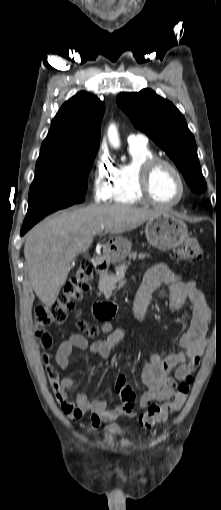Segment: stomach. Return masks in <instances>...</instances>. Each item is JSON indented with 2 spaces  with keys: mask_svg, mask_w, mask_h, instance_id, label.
<instances>
[{
  "mask_svg": "<svg viewBox=\"0 0 221 510\" xmlns=\"http://www.w3.org/2000/svg\"><path fill=\"white\" fill-rule=\"evenodd\" d=\"M145 236L150 245L160 251H169L181 245L188 237V228L178 217L162 212L145 224ZM131 242L116 237L109 245L112 260L120 261L131 250Z\"/></svg>",
  "mask_w": 221,
  "mask_h": 510,
  "instance_id": "obj_1",
  "label": "stomach"
}]
</instances>
